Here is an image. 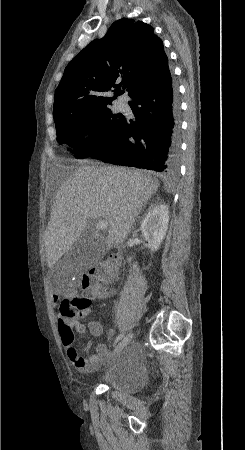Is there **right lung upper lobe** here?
Wrapping results in <instances>:
<instances>
[{
	"label": "right lung upper lobe",
	"instance_id": "right-lung-upper-lobe-1",
	"mask_svg": "<svg viewBox=\"0 0 245 450\" xmlns=\"http://www.w3.org/2000/svg\"><path fill=\"white\" fill-rule=\"evenodd\" d=\"M162 41L153 28L123 18L106 36L92 41L67 65L55 91L54 108L77 109L108 106L126 89L136 92L168 68ZM115 88V90H113ZM117 92L114 97L109 92Z\"/></svg>",
	"mask_w": 245,
	"mask_h": 450
}]
</instances>
